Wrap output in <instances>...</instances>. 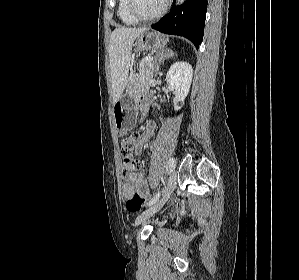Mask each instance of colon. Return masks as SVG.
Wrapping results in <instances>:
<instances>
[{
	"label": "colon",
	"instance_id": "1",
	"mask_svg": "<svg viewBox=\"0 0 299 280\" xmlns=\"http://www.w3.org/2000/svg\"><path fill=\"white\" fill-rule=\"evenodd\" d=\"M136 136H140V131H131V136L125 138L122 142L124 175L134 172L139 168V162L132 155L134 142L137 138ZM144 202L145 200L136 194L132 198L126 200L125 207L130 212H137L142 208Z\"/></svg>",
	"mask_w": 299,
	"mask_h": 280
}]
</instances>
